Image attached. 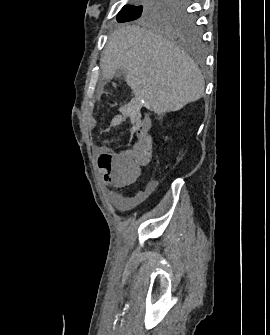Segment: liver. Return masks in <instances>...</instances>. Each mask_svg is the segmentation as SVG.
I'll list each match as a JSON object with an SVG mask.
<instances>
[{
  "label": "liver",
  "mask_w": 270,
  "mask_h": 335,
  "mask_svg": "<svg viewBox=\"0 0 270 335\" xmlns=\"http://www.w3.org/2000/svg\"><path fill=\"white\" fill-rule=\"evenodd\" d=\"M100 66L106 80L124 70L135 96L156 114L177 112L204 94V78L193 60L179 46L140 26H121L110 34Z\"/></svg>",
  "instance_id": "6515ba94"
}]
</instances>
